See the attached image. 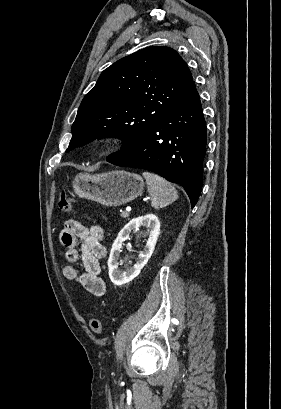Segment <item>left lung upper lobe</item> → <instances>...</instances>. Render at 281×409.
<instances>
[{
    "instance_id": "left-lung-upper-lobe-1",
    "label": "left lung upper lobe",
    "mask_w": 281,
    "mask_h": 409,
    "mask_svg": "<svg viewBox=\"0 0 281 409\" xmlns=\"http://www.w3.org/2000/svg\"><path fill=\"white\" fill-rule=\"evenodd\" d=\"M180 55L169 47H147L105 69L87 93L72 125L67 152L96 138L117 136L122 149L136 144L194 88Z\"/></svg>"
}]
</instances>
